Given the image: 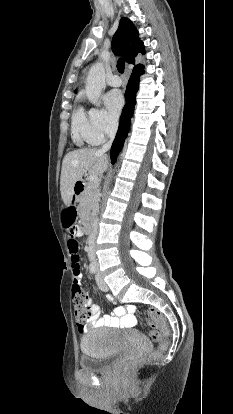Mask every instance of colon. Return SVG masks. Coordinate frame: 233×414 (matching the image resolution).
I'll use <instances>...</instances> for the list:
<instances>
[{"label": "colon", "mask_w": 233, "mask_h": 414, "mask_svg": "<svg viewBox=\"0 0 233 414\" xmlns=\"http://www.w3.org/2000/svg\"><path fill=\"white\" fill-rule=\"evenodd\" d=\"M74 220L75 212L73 210L66 211L63 216V224L68 236V248L70 253L73 250H76L78 252L79 248L78 241L76 239V227ZM87 299L88 296L86 295V292L82 286L80 287L78 294L72 293L75 318L77 326L81 331H83L86 324L90 321L89 317L91 316L88 309L89 306L87 305ZM147 318L148 323L154 328V330L151 332V338L153 341L159 342L158 348L151 353V356L155 358L158 357L166 347L165 343H163L161 340L163 334L167 332V325L162 314L155 308L148 309ZM139 362L140 359L138 357H131L124 363L123 370L130 371L135 368Z\"/></svg>", "instance_id": "1"}]
</instances>
